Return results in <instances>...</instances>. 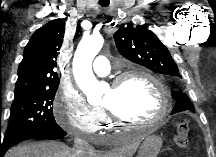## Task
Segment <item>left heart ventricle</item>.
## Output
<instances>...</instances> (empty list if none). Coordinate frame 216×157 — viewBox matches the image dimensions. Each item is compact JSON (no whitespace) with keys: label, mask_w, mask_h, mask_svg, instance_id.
Listing matches in <instances>:
<instances>
[{"label":"left heart ventricle","mask_w":216,"mask_h":157,"mask_svg":"<svg viewBox=\"0 0 216 157\" xmlns=\"http://www.w3.org/2000/svg\"><path fill=\"white\" fill-rule=\"evenodd\" d=\"M103 105L110 107L118 115L135 121L154 118L161 106L156 88L147 80L139 77L127 79L122 86L106 93Z\"/></svg>","instance_id":"b2bd125f"}]
</instances>
